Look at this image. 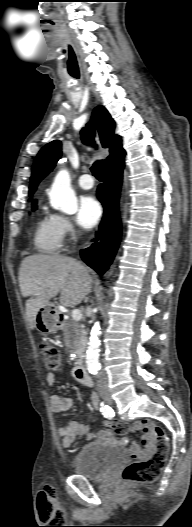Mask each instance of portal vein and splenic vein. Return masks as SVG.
<instances>
[{"label":"portal vein and splenic vein","instance_id":"1","mask_svg":"<svg viewBox=\"0 0 192 527\" xmlns=\"http://www.w3.org/2000/svg\"><path fill=\"white\" fill-rule=\"evenodd\" d=\"M72 318H73L74 321H80L81 318H82V313H81V311L78 310V309H74V310L72 311Z\"/></svg>","mask_w":192,"mask_h":527}]
</instances>
